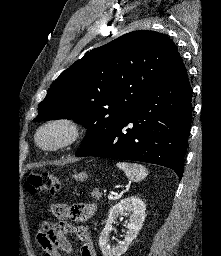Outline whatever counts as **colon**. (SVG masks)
Here are the masks:
<instances>
[{"mask_svg":"<svg viewBox=\"0 0 221 256\" xmlns=\"http://www.w3.org/2000/svg\"><path fill=\"white\" fill-rule=\"evenodd\" d=\"M60 187L59 180L48 172L30 173L26 180V189L33 194L38 191L54 192Z\"/></svg>","mask_w":221,"mask_h":256,"instance_id":"colon-1","label":"colon"}]
</instances>
